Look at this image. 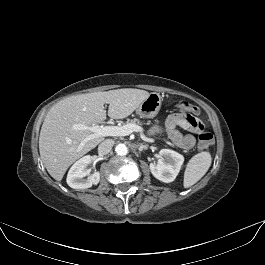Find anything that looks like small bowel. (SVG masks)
Instances as JSON below:
<instances>
[{
    "label": "small bowel",
    "instance_id": "small-bowel-1",
    "mask_svg": "<svg viewBox=\"0 0 265 265\" xmlns=\"http://www.w3.org/2000/svg\"><path fill=\"white\" fill-rule=\"evenodd\" d=\"M178 127L187 130L190 133H199L203 130L202 122L191 114L175 113L168 117L164 130L168 138L179 148L190 150L195 144V138L192 134H182ZM154 131H158L155 129Z\"/></svg>",
    "mask_w": 265,
    "mask_h": 265
}]
</instances>
